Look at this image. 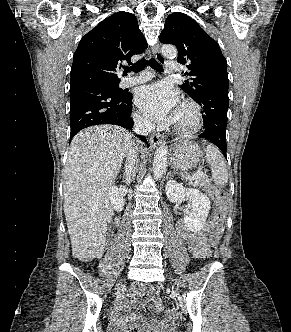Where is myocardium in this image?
Masks as SVG:
<instances>
[{
	"instance_id": "myocardium-1",
	"label": "myocardium",
	"mask_w": 291,
	"mask_h": 332,
	"mask_svg": "<svg viewBox=\"0 0 291 332\" xmlns=\"http://www.w3.org/2000/svg\"><path fill=\"white\" fill-rule=\"evenodd\" d=\"M180 108L186 109L189 112L190 123L187 126H180L174 123V132L182 136H189L198 132L203 126V117L200 107L194 101L184 100L181 103Z\"/></svg>"
}]
</instances>
